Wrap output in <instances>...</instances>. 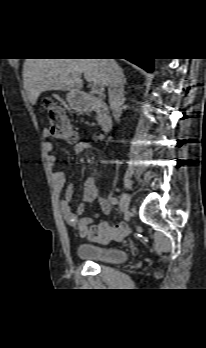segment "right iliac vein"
<instances>
[{
	"mask_svg": "<svg viewBox=\"0 0 206 348\" xmlns=\"http://www.w3.org/2000/svg\"><path fill=\"white\" fill-rule=\"evenodd\" d=\"M129 205H130V197L128 194L123 193L121 195V200L119 204L121 212H127L129 209Z\"/></svg>",
	"mask_w": 206,
	"mask_h": 348,
	"instance_id": "obj_1",
	"label": "right iliac vein"
}]
</instances>
